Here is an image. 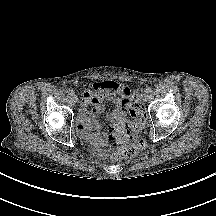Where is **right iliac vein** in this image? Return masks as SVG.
Instances as JSON below:
<instances>
[{"instance_id":"1","label":"right iliac vein","mask_w":216,"mask_h":216,"mask_svg":"<svg viewBox=\"0 0 216 216\" xmlns=\"http://www.w3.org/2000/svg\"><path fill=\"white\" fill-rule=\"evenodd\" d=\"M72 100H73V102H78V97L74 94V95H72Z\"/></svg>"}]
</instances>
